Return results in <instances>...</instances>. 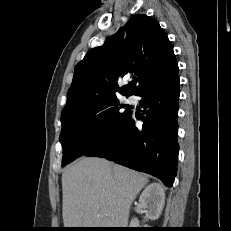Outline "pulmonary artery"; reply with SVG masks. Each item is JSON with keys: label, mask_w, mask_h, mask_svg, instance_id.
Segmentation results:
<instances>
[{"label": "pulmonary artery", "mask_w": 231, "mask_h": 231, "mask_svg": "<svg viewBox=\"0 0 231 231\" xmlns=\"http://www.w3.org/2000/svg\"><path fill=\"white\" fill-rule=\"evenodd\" d=\"M135 97L134 96H129L128 98H127V102L128 103H130V104H132V103H135Z\"/></svg>", "instance_id": "1"}]
</instances>
